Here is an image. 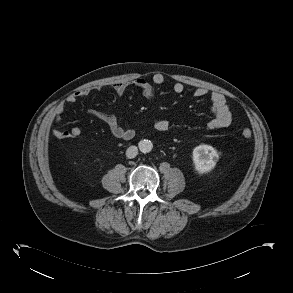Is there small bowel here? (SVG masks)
Wrapping results in <instances>:
<instances>
[{
	"label": "small bowel",
	"mask_w": 293,
	"mask_h": 293,
	"mask_svg": "<svg viewBox=\"0 0 293 293\" xmlns=\"http://www.w3.org/2000/svg\"><path fill=\"white\" fill-rule=\"evenodd\" d=\"M165 81L164 76L161 73H155L151 80H146L144 78H136L129 83L126 82H116L111 85V89L118 95H122L129 86H135L139 88L143 96L147 99H153L156 95V87L163 84ZM101 86L97 87L101 90ZM172 89L175 93L180 94L184 91V85L180 82L173 84ZM91 88H83L75 93L71 94L67 99L66 103L73 104L79 98L88 96L91 93ZM194 96L197 98H203L209 96L211 102V110L213 113V118L207 123V128L210 130L226 128L230 125L232 120V115L228 103L225 97L220 93H209L208 90L204 88H197L194 91ZM65 104L61 103L57 105L48 115V122L50 124L58 123L61 119V115L64 111ZM87 113L105 123L110 131V133L117 139L130 140L134 136V131L129 128H125L120 125L117 118L114 115L104 113L96 109H89ZM154 128L159 132H165L169 129L168 121L164 119H159L155 121ZM54 135L60 139L76 138L80 136L81 129L79 127H73L70 131H53Z\"/></svg>",
	"instance_id": "1"
}]
</instances>
